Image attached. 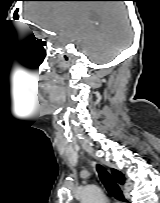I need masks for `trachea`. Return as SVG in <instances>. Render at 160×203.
<instances>
[{"label":"trachea","instance_id":"trachea-1","mask_svg":"<svg viewBox=\"0 0 160 203\" xmlns=\"http://www.w3.org/2000/svg\"><path fill=\"white\" fill-rule=\"evenodd\" d=\"M96 169L99 174L100 180L102 181L108 193L113 197L119 199L120 201L126 202L120 187L109 174V172L100 165H97Z\"/></svg>","mask_w":160,"mask_h":203}]
</instances>
